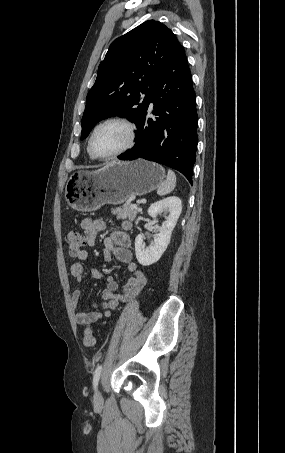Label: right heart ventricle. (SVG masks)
I'll return each mask as SVG.
<instances>
[{
  "label": "right heart ventricle",
  "instance_id": "1",
  "mask_svg": "<svg viewBox=\"0 0 285 453\" xmlns=\"http://www.w3.org/2000/svg\"><path fill=\"white\" fill-rule=\"evenodd\" d=\"M88 153H89L90 157H91L92 159H94V157L90 154L89 150H88Z\"/></svg>",
  "mask_w": 285,
  "mask_h": 453
}]
</instances>
